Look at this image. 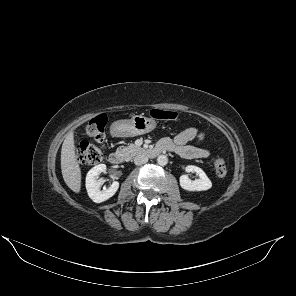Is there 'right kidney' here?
Here are the masks:
<instances>
[{
    "instance_id": "right-kidney-1",
    "label": "right kidney",
    "mask_w": 296,
    "mask_h": 296,
    "mask_svg": "<svg viewBox=\"0 0 296 296\" xmlns=\"http://www.w3.org/2000/svg\"><path fill=\"white\" fill-rule=\"evenodd\" d=\"M106 169L107 167L105 164H99L93 167L86 176V189L89 197L95 203H101L108 200L117 192L119 188V182L114 181L108 189L103 191L100 190L103 180L98 179V177L102 172H105Z\"/></svg>"
}]
</instances>
